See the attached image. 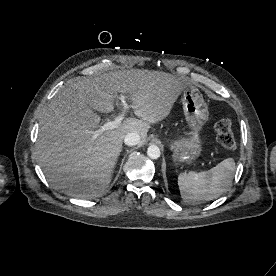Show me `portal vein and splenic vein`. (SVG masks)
<instances>
[{
    "instance_id": "18ae733b",
    "label": "portal vein and splenic vein",
    "mask_w": 276,
    "mask_h": 276,
    "mask_svg": "<svg viewBox=\"0 0 276 276\" xmlns=\"http://www.w3.org/2000/svg\"><path fill=\"white\" fill-rule=\"evenodd\" d=\"M120 100H121V103L123 106V112L120 115H118L113 121H108L103 126H101V128H99L98 130L92 131L91 133L93 134L94 139H96L104 131L117 128L121 124L126 112L129 110V108H132V109L135 108V106L127 104V102L125 100V96H123V95L120 96Z\"/></svg>"
}]
</instances>
